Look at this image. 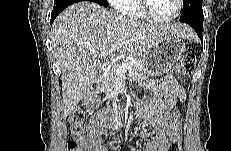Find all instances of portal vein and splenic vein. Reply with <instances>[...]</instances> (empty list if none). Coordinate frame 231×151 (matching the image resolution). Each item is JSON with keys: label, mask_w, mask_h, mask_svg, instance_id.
Instances as JSON below:
<instances>
[{"label": "portal vein and splenic vein", "mask_w": 231, "mask_h": 151, "mask_svg": "<svg viewBox=\"0 0 231 151\" xmlns=\"http://www.w3.org/2000/svg\"><path fill=\"white\" fill-rule=\"evenodd\" d=\"M120 47H121V44H114V45H112V47L108 51L100 52V53L93 52V55L95 57H99L100 59H103L107 55H109L111 52L118 50ZM134 64H135V61H130V62L123 63L122 65H119L113 69L117 74H123L125 71L131 69L134 66Z\"/></svg>", "instance_id": "obj_1"}]
</instances>
